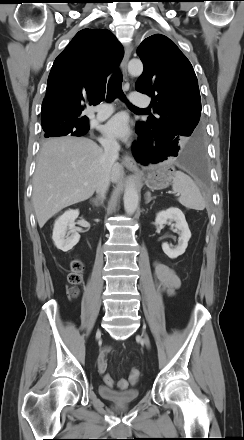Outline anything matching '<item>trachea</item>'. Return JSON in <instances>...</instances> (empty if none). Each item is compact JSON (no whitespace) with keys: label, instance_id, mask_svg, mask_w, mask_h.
Segmentation results:
<instances>
[{"label":"trachea","instance_id":"1","mask_svg":"<svg viewBox=\"0 0 244 440\" xmlns=\"http://www.w3.org/2000/svg\"><path fill=\"white\" fill-rule=\"evenodd\" d=\"M107 99L108 101H113L116 98H120L123 101H126V98L124 96V93L122 91V75L120 71H116L112 77L110 78L108 82V88H107ZM128 104V102H127ZM132 108L139 109L142 111H146L145 109L137 108L132 105H129Z\"/></svg>","mask_w":244,"mask_h":440}]
</instances>
